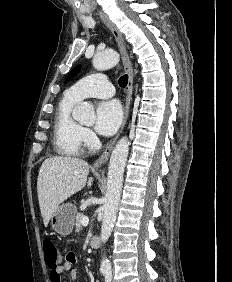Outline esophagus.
Returning a JSON list of instances; mask_svg holds the SVG:
<instances>
[{"label": "esophagus", "instance_id": "obj_1", "mask_svg": "<svg viewBox=\"0 0 232 282\" xmlns=\"http://www.w3.org/2000/svg\"><path fill=\"white\" fill-rule=\"evenodd\" d=\"M99 15L104 22V24L109 28V30L112 32L113 36L115 37L120 53L122 56V61L124 64V69L126 73L128 74V83H127V92H126V102H125V107H124V118H123V123L121 130L119 133L116 135V137L108 144L102 155L94 162V166L99 167L101 166L104 162H106L110 156V153L119 138L122 130L124 129L128 116H129V109H130V103L132 99V91H133V66L132 62L130 59V56L127 51V44L126 41L122 35V33L119 31V29L116 27V25L108 18L106 14L103 12H99Z\"/></svg>", "mask_w": 232, "mask_h": 282}]
</instances>
